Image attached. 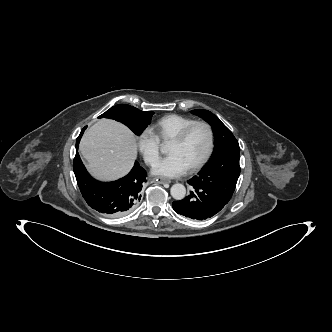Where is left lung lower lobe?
Segmentation results:
<instances>
[{"label":"left lung lower lobe","instance_id":"obj_1","mask_svg":"<svg viewBox=\"0 0 332 332\" xmlns=\"http://www.w3.org/2000/svg\"><path fill=\"white\" fill-rule=\"evenodd\" d=\"M192 192L183 200L174 201L176 213L194 220H206L217 214L228 202L224 196L210 189L199 177L188 181Z\"/></svg>","mask_w":332,"mask_h":332}]
</instances>
